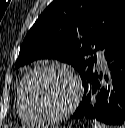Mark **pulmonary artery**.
<instances>
[{"mask_svg": "<svg viewBox=\"0 0 125 128\" xmlns=\"http://www.w3.org/2000/svg\"><path fill=\"white\" fill-rule=\"evenodd\" d=\"M98 61L100 64L104 65L105 64V60H104V55L102 52H97L96 53Z\"/></svg>", "mask_w": 125, "mask_h": 128, "instance_id": "1", "label": "pulmonary artery"}]
</instances>
